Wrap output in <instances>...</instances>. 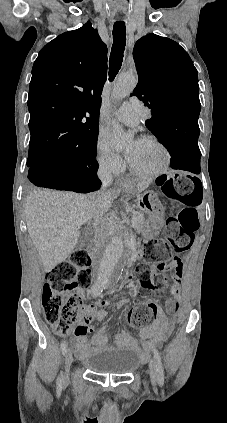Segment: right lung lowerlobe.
Here are the masks:
<instances>
[{
  "instance_id": "obj_1",
  "label": "right lung lower lobe",
  "mask_w": 227,
  "mask_h": 423,
  "mask_svg": "<svg viewBox=\"0 0 227 423\" xmlns=\"http://www.w3.org/2000/svg\"><path fill=\"white\" fill-rule=\"evenodd\" d=\"M95 158L65 159L57 156L45 158L29 167L28 179L36 186L88 193L100 186Z\"/></svg>"
}]
</instances>
